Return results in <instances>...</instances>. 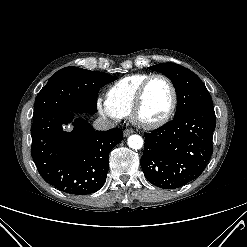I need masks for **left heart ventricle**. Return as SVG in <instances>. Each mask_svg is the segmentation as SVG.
<instances>
[{"mask_svg":"<svg viewBox=\"0 0 247 247\" xmlns=\"http://www.w3.org/2000/svg\"><path fill=\"white\" fill-rule=\"evenodd\" d=\"M172 93L169 84L162 78L152 80L145 93L140 118L155 121L163 117L170 108Z\"/></svg>","mask_w":247,"mask_h":247,"instance_id":"1","label":"left heart ventricle"}]
</instances>
